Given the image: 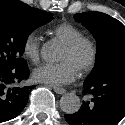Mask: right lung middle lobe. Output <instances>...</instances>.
<instances>
[{"label":"right lung middle lobe","instance_id":"obj_1","mask_svg":"<svg viewBox=\"0 0 125 125\" xmlns=\"http://www.w3.org/2000/svg\"><path fill=\"white\" fill-rule=\"evenodd\" d=\"M53 14L38 10L30 18H16L6 9H0V62L8 67L26 63L21 58L28 36L36 28L50 22Z\"/></svg>","mask_w":125,"mask_h":125}]
</instances>
